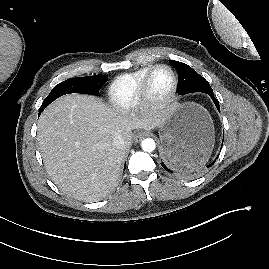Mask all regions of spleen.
I'll return each mask as SVG.
<instances>
[{"mask_svg":"<svg viewBox=\"0 0 269 269\" xmlns=\"http://www.w3.org/2000/svg\"><path fill=\"white\" fill-rule=\"evenodd\" d=\"M189 168H191L192 166L191 165H188Z\"/></svg>","mask_w":269,"mask_h":269,"instance_id":"3e777b00","label":"spleen"}]
</instances>
